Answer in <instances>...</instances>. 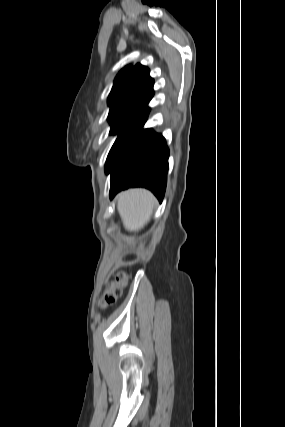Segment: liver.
Masks as SVG:
<instances>
[{
    "label": "liver",
    "instance_id": "6515ba94",
    "mask_svg": "<svg viewBox=\"0 0 285 427\" xmlns=\"http://www.w3.org/2000/svg\"><path fill=\"white\" fill-rule=\"evenodd\" d=\"M156 199L145 189H130L117 196V209L128 231L140 229L150 219Z\"/></svg>",
    "mask_w": 285,
    "mask_h": 427
}]
</instances>
